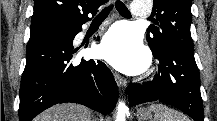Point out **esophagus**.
I'll use <instances>...</instances> for the list:
<instances>
[{
  "instance_id": "1",
  "label": "esophagus",
  "mask_w": 217,
  "mask_h": 121,
  "mask_svg": "<svg viewBox=\"0 0 217 121\" xmlns=\"http://www.w3.org/2000/svg\"><path fill=\"white\" fill-rule=\"evenodd\" d=\"M114 78L120 88L125 89L127 87V80L120 74L114 72Z\"/></svg>"
}]
</instances>
